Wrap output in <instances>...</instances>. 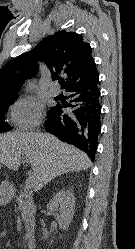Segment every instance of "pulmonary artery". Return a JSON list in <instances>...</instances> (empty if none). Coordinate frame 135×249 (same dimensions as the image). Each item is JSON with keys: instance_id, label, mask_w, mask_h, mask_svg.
I'll list each match as a JSON object with an SVG mask.
<instances>
[{"instance_id": "obj_1", "label": "pulmonary artery", "mask_w": 135, "mask_h": 249, "mask_svg": "<svg viewBox=\"0 0 135 249\" xmlns=\"http://www.w3.org/2000/svg\"><path fill=\"white\" fill-rule=\"evenodd\" d=\"M60 92H61V90H60V87L58 85H54L50 89V93L52 96H57L60 94Z\"/></svg>"}]
</instances>
